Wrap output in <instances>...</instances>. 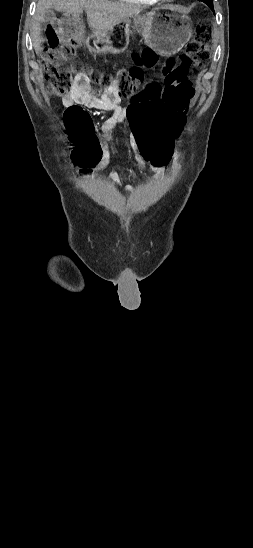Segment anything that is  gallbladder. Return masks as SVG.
Listing matches in <instances>:
<instances>
[{
  "instance_id": "obj_1",
  "label": "gallbladder",
  "mask_w": 253,
  "mask_h": 548,
  "mask_svg": "<svg viewBox=\"0 0 253 548\" xmlns=\"http://www.w3.org/2000/svg\"><path fill=\"white\" fill-rule=\"evenodd\" d=\"M54 17H55L54 11H53V10H48V11L45 13V15H44L42 21H43V22H48V21L54 19Z\"/></svg>"
}]
</instances>
